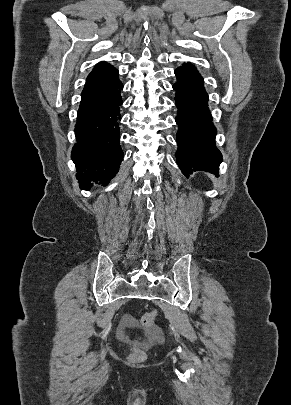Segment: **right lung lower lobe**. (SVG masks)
I'll use <instances>...</instances> for the list:
<instances>
[{"instance_id": "obj_1", "label": "right lung lower lobe", "mask_w": 291, "mask_h": 405, "mask_svg": "<svg viewBox=\"0 0 291 405\" xmlns=\"http://www.w3.org/2000/svg\"><path fill=\"white\" fill-rule=\"evenodd\" d=\"M122 88L117 71L86 83L82 91L75 128L77 142L71 158L76 165L80 187L84 189H89L92 182L107 185L123 160L119 142Z\"/></svg>"}]
</instances>
